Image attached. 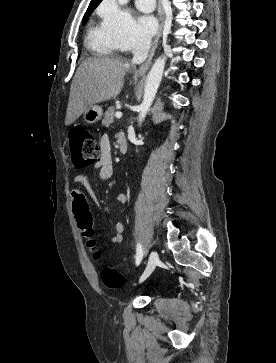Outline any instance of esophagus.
<instances>
[{
    "mask_svg": "<svg viewBox=\"0 0 276 363\" xmlns=\"http://www.w3.org/2000/svg\"><path fill=\"white\" fill-rule=\"evenodd\" d=\"M159 15H160V28H159V32L154 40V43H153V46L151 48V51H150V54H149V57L147 59V61L139 68L138 72L140 74H143L145 73L148 68L150 67V64H151V59L154 55V52H155V49L158 45V42H159V39L161 37V34H162V29H163V24H164V8H163V4L160 0L159 2Z\"/></svg>",
    "mask_w": 276,
    "mask_h": 363,
    "instance_id": "1",
    "label": "esophagus"
}]
</instances>
